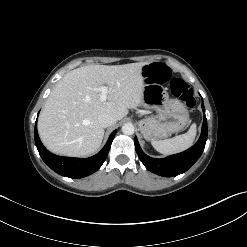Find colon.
<instances>
[{"mask_svg": "<svg viewBox=\"0 0 247 247\" xmlns=\"http://www.w3.org/2000/svg\"><path fill=\"white\" fill-rule=\"evenodd\" d=\"M143 76L150 83L164 84L170 82L171 92L182 100L188 109L193 110L196 99L192 88L180 78H172L170 68L161 63H152L143 68Z\"/></svg>", "mask_w": 247, "mask_h": 247, "instance_id": "colon-1", "label": "colon"}]
</instances>
